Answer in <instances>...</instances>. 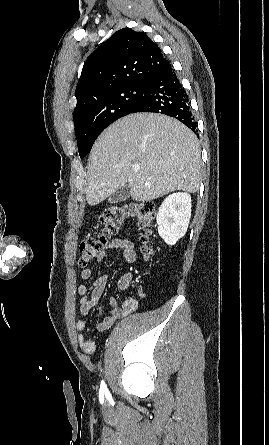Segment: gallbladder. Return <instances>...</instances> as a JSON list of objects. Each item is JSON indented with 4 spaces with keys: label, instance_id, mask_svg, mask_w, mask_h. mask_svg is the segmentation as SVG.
I'll list each match as a JSON object with an SVG mask.
<instances>
[{
    "label": "gallbladder",
    "instance_id": "bac80fb5",
    "mask_svg": "<svg viewBox=\"0 0 269 445\" xmlns=\"http://www.w3.org/2000/svg\"><path fill=\"white\" fill-rule=\"evenodd\" d=\"M130 197V188L129 185L126 184L119 189H117L109 198V203L116 204L122 201L127 200Z\"/></svg>",
    "mask_w": 269,
    "mask_h": 445
}]
</instances>
